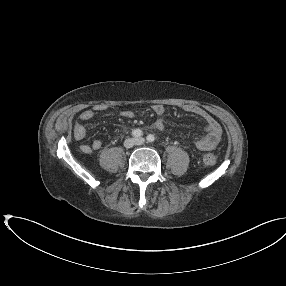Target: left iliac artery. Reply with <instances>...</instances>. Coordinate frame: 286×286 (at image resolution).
<instances>
[{"label":"left iliac artery","instance_id":"left-iliac-artery-1","mask_svg":"<svg viewBox=\"0 0 286 286\" xmlns=\"http://www.w3.org/2000/svg\"><path fill=\"white\" fill-rule=\"evenodd\" d=\"M146 139L148 142L152 143L155 141V136L152 134H149Z\"/></svg>","mask_w":286,"mask_h":286}]
</instances>
